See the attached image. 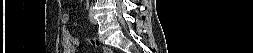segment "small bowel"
<instances>
[{
  "instance_id": "small-bowel-1",
  "label": "small bowel",
  "mask_w": 253,
  "mask_h": 53,
  "mask_svg": "<svg viewBox=\"0 0 253 53\" xmlns=\"http://www.w3.org/2000/svg\"><path fill=\"white\" fill-rule=\"evenodd\" d=\"M69 16L64 14L62 17L63 28H62V46L65 53H73L78 45V40L70 33L67 28Z\"/></svg>"
}]
</instances>
